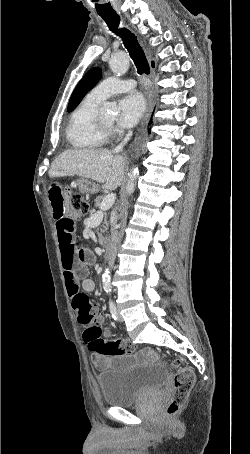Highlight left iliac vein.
<instances>
[{
    "instance_id": "1",
    "label": "left iliac vein",
    "mask_w": 250,
    "mask_h": 454,
    "mask_svg": "<svg viewBox=\"0 0 250 454\" xmlns=\"http://www.w3.org/2000/svg\"><path fill=\"white\" fill-rule=\"evenodd\" d=\"M118 319L119 321H123V317L120 315L119 310L117 309Z\"/></svg>"
}]
</instances>
